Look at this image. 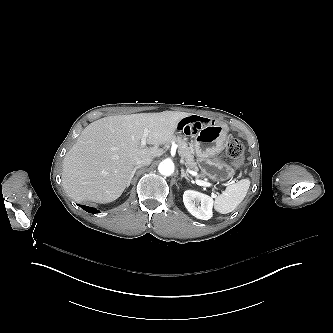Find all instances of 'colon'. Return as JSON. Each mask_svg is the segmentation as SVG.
<instances>
[{"instance_id": "5ec220e1", "label": "colon", "mask_w": 333, "mask_h": 333, "mask_svg": "<svg viewBox=\"0 0 333 333\" xmlns=\"http://www.w3.org/2000/svg\"><path fill=\"white\" fill-rule=\"evenodd\" d=\"M245 148L241 141L237 139L231 140L226 148V154L227 156L235 161L238 165L242 162V157L244 155Z\"/></svg>"}]
</instances>
